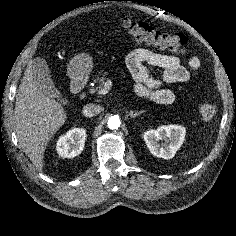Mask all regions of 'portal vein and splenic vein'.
Listing matches in <instances>:
<instances>
[{
  "instance_id": "1",
  "label": "portal vein and splenic vein",
  "mask_w": 236,
  "mask_h": 236,
  "mask_svg": "<svg viewBox=\"0 0 236 236\" xmlns=\"http://www.w3.org/2000/svg\"><path fill=\"white\" fill-rule=\"evenodd\" d=\"M111 86H112L111 81L110 80L106 81L104 84V88L100 89L98 94H101V95L107 94L109 92Z\"/></svg>"
}]
</instances>
